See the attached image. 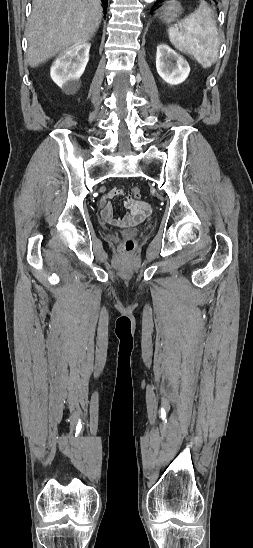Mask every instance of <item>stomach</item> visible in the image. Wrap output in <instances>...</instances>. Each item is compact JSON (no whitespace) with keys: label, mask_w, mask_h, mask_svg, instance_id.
<instances>
[{"label":"stomach","mask_w":253,"mask_h":548,"mask_svg":"<svg viewBox=\"0 0 253 548\" xmlns=\"http://www.w3.org/2000/svg\"><path fill=\"white\" fill-rule=\"evenodd\" d=\"M182 12L181 5L175 1L170 0L160 10V19L165 23L173 22Z\"/></svg>","instance_id":"0dacf381"}]
</instances>
